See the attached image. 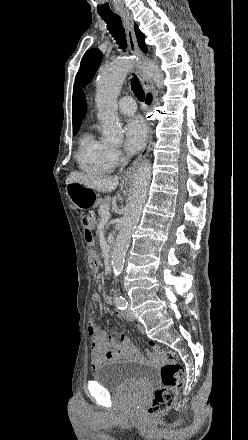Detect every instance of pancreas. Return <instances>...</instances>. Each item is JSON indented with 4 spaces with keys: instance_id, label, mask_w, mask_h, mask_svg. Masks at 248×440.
Wrapping results in <instances>:
<instances>
[{
    "instance_id": "1",
    "label": "pancreas",
    "mask_w": 248,
    "mask_h": 440,
    "mask_svg": "<svg viewBox=\"0 0 248 440\" xmlns=\"http://www.w3.org/2000/svg\"><path fill=\"white\" fill-rule=\"evenodd\" d=\"M110 202H111V198L110 197H105L104 199H98V203L97 205L99 206L98 208V213L101 215L102 213V209L103 208H108L110 207Z\"/></svg>"
}]
</instances>
